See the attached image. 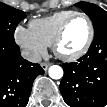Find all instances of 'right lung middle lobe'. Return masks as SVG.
<instances>
[{"label":"right lung middle lobe","instance_id":"right-lung-middle-lobe-1","mask_svg":"<svg viewBox=\"0 0 107 107\" xmlns=\"http://www.w3.org/2000/svg\"><path fill=\"white\" fill-rule=\"evenodd\" d=\"M26 17L23 11L0 3V41L14 44V31L21 20Z\"/></svg>","mask_w":107,"mask_h":107}]
</instances>
